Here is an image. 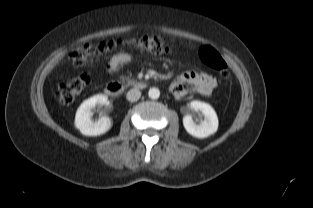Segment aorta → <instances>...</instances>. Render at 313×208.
Instances as JSON below:
<instances>
[{"mask_svg":"<svg viewBox=\"0 0 313 208\" xmlns=\"http://www.w3.org/2000/svg\"><path fill=\"white\" fill-rule=\"evenodd\" d=\"M148 96H149V98H151V99H158L159 96H160V91H159V89H158V88H155V87L150 88V89H149V92H148Z\"/></svg>","mask_w":313,"mask_h":208,"instance_id":"obj_1","label":"aorta"}]
</instances>
